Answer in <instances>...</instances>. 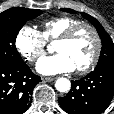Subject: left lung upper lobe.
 <instances>
[{"instance_id":"left-lung-upper-lobe-1","label":"left lung upper lobe","mask_w":114,"mask_h":114,"mask_svg":"<svg viewBox=\"0 0 114 114\" xmlns=\"http://www.w3.org/2000/svg\"><path fill=\"white\" fill-rule=\"evenodd\" d=\"M62 11L75 13V11L71 9H62ZM81 15L96 28L102 41V50L96 68L114 66V43L111 37L104 30L98 20L83 12L81 13Z\"/></svg>"}]
</instances>
